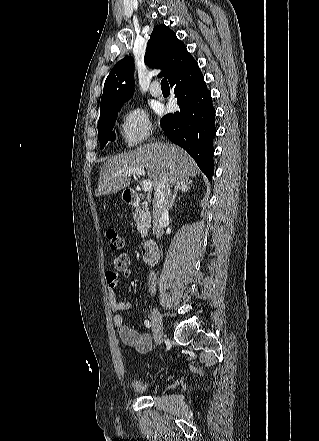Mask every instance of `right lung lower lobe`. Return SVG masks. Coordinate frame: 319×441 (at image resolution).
Masks as SVG:
<instances>
[{
  "instance_id": "right-lung-lower-lobe-1",
  "label": "right lung lower lobe",
  "mask_w": 319,
  "mask_h": 441,
  "mask_svg": "<svg viewBox=\"0 0 319 441\" xmlns=\"http://www.w3.org/2000/svg\"><path fill=\"white\" fill-rule=\"evenodd\" d=\"M180 111L162 118L166 136L185 149L210 180L213 175L215 109L197 62L170 81Z\"/></svg>"
}]
</instances>
